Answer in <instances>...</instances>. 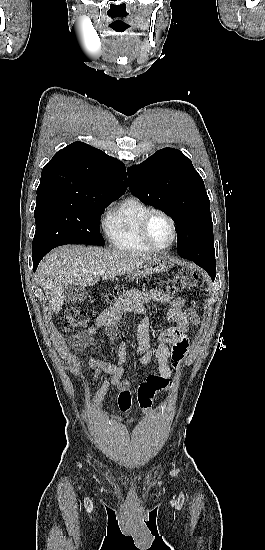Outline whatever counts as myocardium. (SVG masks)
<instances>
[{"label": "myocardium", "instance_id": "myocardium-1", "mask_svg": "<svg viewBox=\"0 0 265 550\" xmlns=\"http://www.w3.org/2000/svg\"><path fill=\"white\" fill-rule=\"evenodd\" d=\"M154 215H161L164 218H166L170 223V226H171V229H172V239H171V242L168 245H165V246L156 245L152 241V239L149 235V223H150V220L152 219V217ZM140 234H141V237H142L143 241L146 243V245L149 248H151L152 250H155V251H165V250L170 249L175 244V242L177 240V236H178V231H177L176 222L170 214H168L167 212H165L161 209L152 208L147 213H145V215L141 219Z\"/></svg>", "mask_w": 265, "mask_h": 550}]
</instances>
